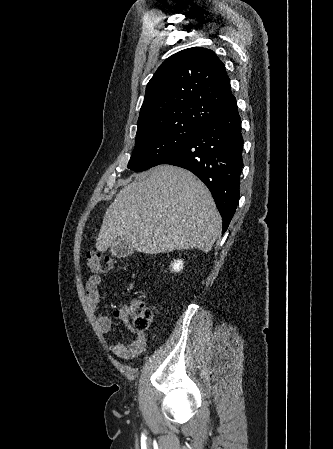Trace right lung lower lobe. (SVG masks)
<instances>
[{"label": "right lung lower lobe", "mask_w": 333, "mask_h": 449, "mask_svg": "<svg viewBox=\"0 0 333 449\" xmlns=\"http://www.w3.org/2000/svg\"><path fill=\"white\" fill-rule=\"evenodd\" d=\"M241 119L236 107L211 120L162 158L160 164L185 168L211 191L223 220V233L236 211L243 167Z\"/></svg>", "instance_id": "obj_1"}]
</instances>
